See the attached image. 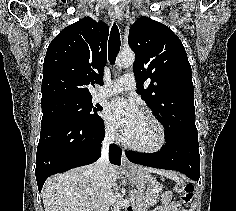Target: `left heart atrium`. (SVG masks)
<instances>
[{
  "label": "left heart atrium",
  "instance_id": "obj_1",
  "mask_svg": "<svg viewBox=\"0 0 236 211\" xmlns=\"http://www.w3.org/2000/svg\"><path fill=\"white\" fill-rule=\"evenodd\" d=\"M141 117L135 102L125 99L111 101L106 108L105 118L125 135Z\"/></svg>",
  "mask_w": 236,
  "mask_h": 211
}]
</instances>
